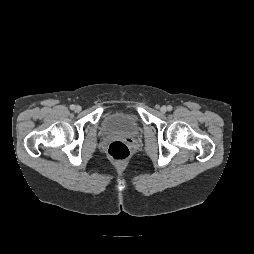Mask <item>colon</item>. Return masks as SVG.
Here are the masks:
<instances>
[{
  "mask_svg": "<svg viewBox=\"0 0 254 254\" xmlns=\"http://www.w3.org/2000/svg\"><path fill=\"white\" fill-rule=\"evenodd\" d=\"M108 158L115 164H124L130 157V148L123 141H114L107 148Z\"/></svg>",
  "mask_w": 254,
  "mask_h": 254,
  "instance_id": "colon-1",
  "label": "colon"
}]
</instances>
